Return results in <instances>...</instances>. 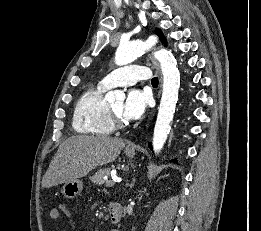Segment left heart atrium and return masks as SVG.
Returning <instances> with one entry per match:
<instances>
[{"mask_svg":"<svg viewBox=\"0 0 261 231\" xmlns=\"http://www.w3.org/2000/svg\"><path fill=\"white\" fill-rule=\"evenodd\" d=\"M149 100L145 91L137 88L129 90L123 106V117L128 120L139 119L144 114Z\"/></svg>","mask_w":261,"mask_h":231,"instance_id":"1","label":"left heart atrium"}]
</instances>
